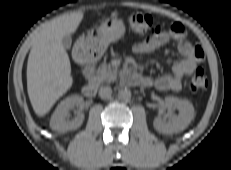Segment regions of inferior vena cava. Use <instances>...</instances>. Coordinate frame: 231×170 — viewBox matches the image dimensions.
<instances>
[{"label": "inferior vena cava", "mask_w": 231, "mask_h": 170, "mask_svg": "<svg viewBox=\"0 0 231 170\" xmlns=\"http://www.w3.org/2000/svg\"><path fill=\"white\" fill-rule=\"evenodd\" d=\"M112 94V89L109 86H104L99 89V96L102 99L109 98Z\"/></svg>", "instance_id": "obj_1"}]
</instances>
